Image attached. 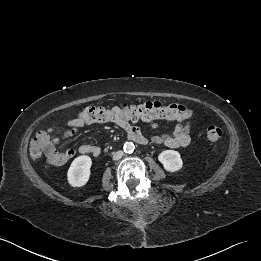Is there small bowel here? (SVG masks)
Instances as JSON below:
<instances>
[{
    "label": "small bowel",
    "mask_w": 261,
    "mask_h": 261,
    "mask_svg": "<svg viewBox=\"0 0 261 261\" xmlns=\"http://www.w3.org/2000/svg\"><path fill=\"white\" fill-rule=\"evenodd\" d=\"M119 128L124 130L128 137L134 133H141L140 130L132 125L127 120H119L114 122ZM86 123L81 121L78 117L71 120L66 127H50L47 130V142L45 145L44 153L47 159V162L54 166H61L67 163L75 154L74 150H67L65 152H59L58 147L61 140L54 136V133L61 130H71L84 126ZM158 124L156 122H151L150 127L156 128ZM152 142L155 144H163L169 148H180L186 147L190 144L191 135H190V123L188 121H178L173 127L170 133H163L155 135L152 137ZM79 153L85 155H98L100 149L98 147L83 144L79 147Z\"/></svg>",
    "instance_id": "small-bowel-1"
}]
</instances>
